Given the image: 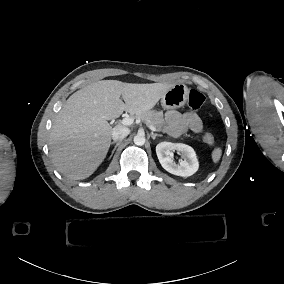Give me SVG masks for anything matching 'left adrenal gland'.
Returning <instances> with one entry per match:
<instances>
[{"mask_svg": "<svg viewBox=\"0 0 284 284\" xmlns=\"http://www.w3.org/2000/svg\"><path fill=\"white\" fill-rule=\"evenodd\" d=\"M150 135H151V137H152L153 140H155L156 137H163V135H161V134H156V133H153V132H151Z\"/></svg>", "mask_w": 284, "mask_h": 284, "instance_id": "a2214340", "label": "left adrenal gland"}]
</instances>
